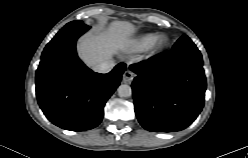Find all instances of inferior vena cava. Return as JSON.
I'll list each match as a JSON object with an SVG mask.
<instances>
[{
    "label": "inferior vena cava",
    "instance_id": "1",
    "mask_svg": "<svg viewBox=\"0 0 248 158\" xmlns=\"http://www.w3.org/2000/svg\"><path fill=\"white\" fill-rule=\"evenodd\" d=\"M114 66H115V62L109 59L99 63L95 67V70L99 73H108L113 69Z\"/></svg>",
    "mask_w": 248,
    "mask_h": 158
}]
</instances>
